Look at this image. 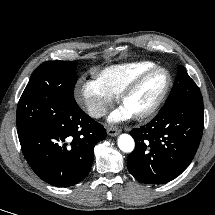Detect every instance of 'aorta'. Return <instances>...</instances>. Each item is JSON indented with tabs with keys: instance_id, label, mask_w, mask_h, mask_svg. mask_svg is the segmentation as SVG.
Masks as SVG:
<instances>
[{
	"instance_id": "obj_1",
	"label": "aorta",
	"mask_w": 215,
	"mask_h": 215,
	"mask_svg": "<svg viewBox=\"0 0 215 215\" xmlns=\"http://www.w3.org/2000/svg\"><path fill=\"white\" fill-rule=\"evenodd\" d=\"M135 142L128 134H121L118 138V147L121 151L129 153L134 150Z\"/></svg>"
}]
</instances>
